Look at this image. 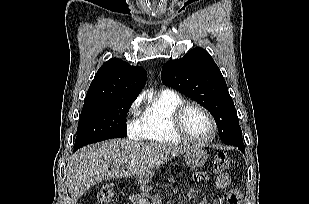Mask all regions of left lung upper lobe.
<instances>
[{
  "mask_svg": "<svg viewBox=\"0 0 309 204\" xmlns=\"http://www.w3.org/2000/svg\"><path fill=\"white\" fill-rule=\"evenodd\" d=\"M164 85L175 88L205 107L214 117L220 138L230 145L243 143L239 119L226 82L210 54L203 48L162 67Z\"/></svg>",
  "mask_w": 309,
  "mask_h": 204,
  "instance_id": "obj_1",
  "label": "left lung upper lobe"
}]
</instances>
